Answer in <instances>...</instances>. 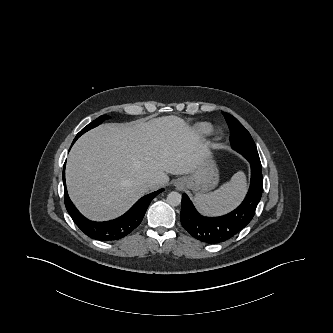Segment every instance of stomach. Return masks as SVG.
Listing matches in <instances>:
<instances>
[{
	"label": "stomach",
	"instance_id": "0dacf381",
	"mask_svg": "<svg viewBox=\"0 0 333 333\" xmlns=\"http://www.w3.org/2000/svg\"><path fill=\"white\" fill-rule=\"evenodd\" d=\"M185 187L195 193H205L216 187L219 180L218 169L210 153L189 176L182 178Z\"/></svg>",
	"mask_w": 333,
	"mask_h": 333
}]
</instances>
